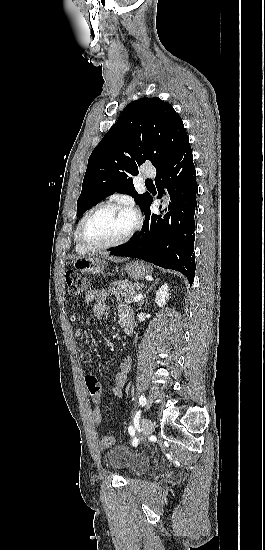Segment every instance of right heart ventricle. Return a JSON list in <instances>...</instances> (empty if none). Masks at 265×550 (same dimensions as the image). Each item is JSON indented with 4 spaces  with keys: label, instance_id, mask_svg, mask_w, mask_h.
<instances>
[{
    "label": "right heart ventricle",
    "instance_id": "1",
    "mask_svg": "<svg viewBox=\"0 0 265 550\" xmlns=\"http://www.w3.org/2000/svg\"><path fill=\"white\" fill-rule=\"evenodd\" d=\"M74 241H75V248H76V251H77L78 253L84 254V253H86V252L88 251L87 249L83 248V247L80 245V243L78 242L77 237H76V231H75V233H74Z\"/></svg>",
    "mask_w": 265,
    "mask_h": 550
}]
</instances>
